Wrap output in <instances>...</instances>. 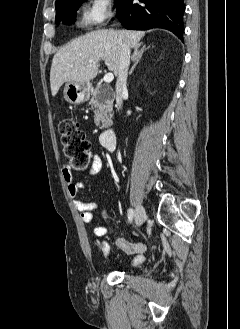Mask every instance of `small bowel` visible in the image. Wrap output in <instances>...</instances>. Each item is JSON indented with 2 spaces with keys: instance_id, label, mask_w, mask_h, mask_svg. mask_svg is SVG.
<instances>
[{
  "instance_id": "obj_1",
  "label": "small bowel",
  "mask_w": 240,
  "mask_h": 329,
  "mask_svg": "<svg viewBox=\"0 0 240 329\" xmlns=\"http://www.w3.org/2000/svg\"><path fill=\"white\" fill-rule=\"evenodd\" d=\"M102 168V161L97 154H93L92 163L89 168V174L94 176L99 173ZM62 178L67 186L68 195L74 200V206L79 211L80 219L82 222L88 224L93 221V212L98 209V205L92 202H82L77 199L79 193L85 188V184L77 181L70 170L68 165H64L62 168ZM104 217L107 221L106 225H99L93 229V234L97 237L110 235L114 243L123 250L126 254L133 255V266L139 267L145 261L144 253L146 251V245L144 243H130L121 237H117L110 223V218L105 213ZM94 246L101 257L109 258L111 254V248L108 243L96 239Z\"/></svg>"
}]
</instances>
